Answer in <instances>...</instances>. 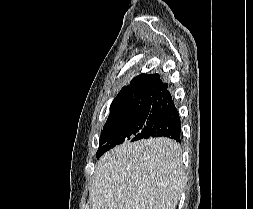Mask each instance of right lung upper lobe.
Here are the masks:
<instances>
[{
    "instance_id": "cb5924a9",
    "label": "right lung upper lobe",
    "mask_w": 253,
    "mask_h": 209,
    "mask_svg": "<svg viewBox=\"0 0 253 209\" xmlns=\"http://www.w3.org/2000/svg\"><path fill=\"white\" fill-rule=\"evenodd\" d=\"M168 84L163 83L159 74H141L124 86L110 106L106 122L139 108L152 107L167 93Z\"/></svg>"
}]
</instances>
